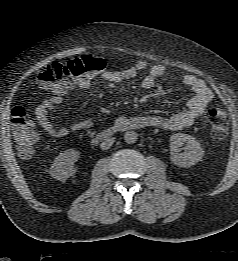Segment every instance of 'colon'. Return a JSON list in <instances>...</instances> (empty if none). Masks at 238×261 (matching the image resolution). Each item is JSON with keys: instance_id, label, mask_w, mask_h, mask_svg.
<instances>
[{"instance_id": "colon-1", "label": "colon", "mask_w": 238, "mask_h": 261, "mask_svg": "<svg viewBox=\"0 0 238 261\" xmlns=\"http://www.w3.org/2000/svg\"><path fill=\"white\" fill-rule=\"evenodd\" d=\"M105 62L92 55H82L64 63L49 64L37 77L41 87L53 92H65L70 83L78 78L90 77L100 73ZM212 135L223 139L227 134V114L218 104L208 112ZM12 131L18 153L23 158H30L40 140V133L28 118L26 110L17 106L12 110Z\"/></svg>"}]
</instances>
